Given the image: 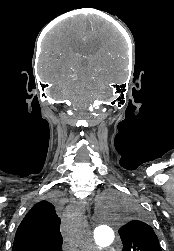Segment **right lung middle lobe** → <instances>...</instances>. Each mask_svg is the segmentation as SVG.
Instances as JSON below:
<instances>
[{
	"label": "right lung middle lobe",
	"mask_w": 174,
	"mask_h": 251,
	"mask_svg": "<svg viewBox=\"0 0 174 251\" xmlns=\"http://www.w3.org/2000/svg\"><path fill=\"white\" fill-rule=\"evenodd\" d=\"M44 201H46V200H44ZM48 201H49V202H53V203H55L56 205L59 206V200H58V197H57V196H50V197L48 198Z\"/></svg>",
	"instance_id": "obj_1"
}]
</instances>
